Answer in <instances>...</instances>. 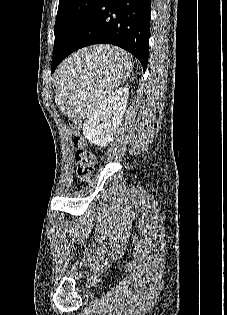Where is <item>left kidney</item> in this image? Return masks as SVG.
<instances>
[{
  "label": "left kidney",
  "mask_w": 227,
  "mask_h": 315,
  "mask_svg": "<svg viewBox=\"0 0 227 315\" xmlns=\"http://www.w3.org/2000/svg\"><path fill=\"white\" fill-rule=\"evenodd\" d=\"M128 96V88H119L103 99L87 117L83 134L90 143L104 147L111 141L125 113Z\"/></svg>",
  "instance_id": "left-kidney-1"
}]
</instances>
